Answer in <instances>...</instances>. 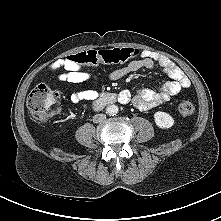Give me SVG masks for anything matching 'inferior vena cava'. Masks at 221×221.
<instances>
[{
	"mask_svg": "<svg viewBox=\"0 0 221 221\" xmlns=\"http://www.w3.org/2000/svg\"><path fill=\"white\" fill-rule=\"evenodd\" d=\"M106 120L105 114H96L93 116V122L94 123H102Z\"/></svg>",
	"mask_w": 221,
	"mask_h": 221,
	"instance_id": "inferior-vena-cava-1",
	"label": "inferior vena cava"
}]
</instances>
